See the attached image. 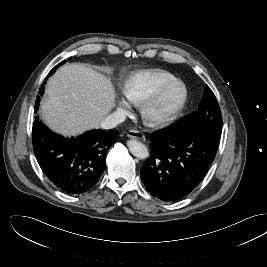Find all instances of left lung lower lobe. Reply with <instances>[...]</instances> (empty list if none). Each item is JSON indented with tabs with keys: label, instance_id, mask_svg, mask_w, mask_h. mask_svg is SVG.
<instances>
[{
	"label": "left lung lower lobe",
	"instance_id": "left-lung-lower-lobe-1",
	"mask_svg": "<svg viewBox=\"0 0 267 267\" xmlns=\"http://www.w3.org/2000/svg\"><path fill=\"white\" fill-rule=\"evenodd\" d=\"M220 138L202 125L176 123L150 136V157L141 169L146 189L164 201L188 195L205 177Z\"/></svg>",
	"mask_w": 267,
	"mask_h": 267
}]
</instances>
